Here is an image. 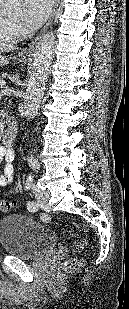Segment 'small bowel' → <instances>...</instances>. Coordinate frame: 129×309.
Segmentation results:
<instances>
[{
    "instance_id": "small-bowel-1",
    "label": "small bowel",
    "mask_w": 129,
    "mask_h": 309,
    "mask_svg": "<svg viewBox=\"0 0 129 309\" xmlns=\"http://www.w3.org/2000/svg\"><path fill=\"white\" fill-rule=\"evenodd\" d=\"M14 151L11 147L0 146V163L4 161L2 172L0 173V187L7 186L13 180L14 168Z\"/></svg>"
}]
</instances>
